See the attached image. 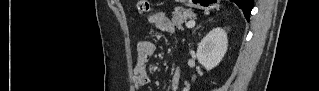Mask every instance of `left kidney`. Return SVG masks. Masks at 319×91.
Returning a JSON list of instances; mask_svg holds the SVG:
<instances>
[{"label": "left kidney", "instance_id": "5707ae66", "mask_svg": "<svg viewBox=\"0 0 319 91\" xmlns=\"http://www.w3.org/2000/svg\"><path fill=\"white\" fill-rule=\"evenodd\" d=\"M228 47L227 33L217 27L212 29L199 43L197 59L209 71L216 67L223 59ZM190 84L186 83L185 91H189Z\"/></svg>", "mask_w": 319, "mask_h": 91}]
</instances>
